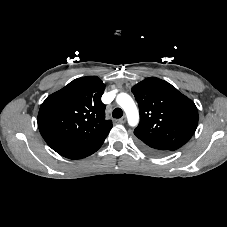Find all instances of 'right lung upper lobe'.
I'll use <instances>...</instances> for the list:
<instances>
[{
    "mask_svg": "<svg viewBox=\"0 0 227 227\" xmlns=\"http://www.w3.org/2000/svg\"><path fill=\"white\" fill-rule=\"evenodd\" d=\"M104 90L105 84L97 76H86L45 99L38 113V127L54 151L69 159H81L101 147L112 128L101 101Z\"/></svg>",
    "mask_w": 227,
    "mask_h": 227,
    "instance_id": "right-lung-upper-lobe-1",
    "label": "right lung upper lobe"
}]
</instances>
